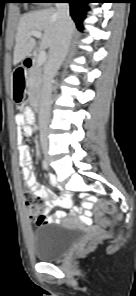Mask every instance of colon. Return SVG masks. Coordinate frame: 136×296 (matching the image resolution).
<instances>
[{"mask_svg": "<svg viewBox=\"0 0 136 296\" xmlns=\"http://www.w3.org/2000/svg\"><path fill=\"white\" fill-rule=\"evenodd\" d=\"M25 207L30 217L38 224H45L47 216L44 213V208L41 201L36 195L27 191L24 194ZM98 208L108 214H115V207L108 201L101 200L98 202ZM88 244L86 247H89Z\"/></svg>", "mask_w": 136, "mask_h": 296, "instance_id": "colon-1", "label": "colon"}]
</instances>
